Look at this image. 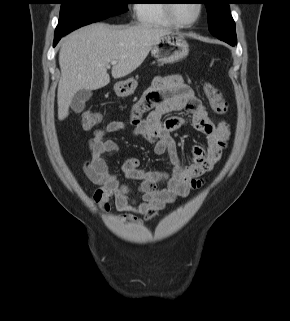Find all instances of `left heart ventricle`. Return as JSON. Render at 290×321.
<instances>
[{
    "label": "left heart ventricle",
    "instance_id": "b2bd125f",
    "mask_svg": "<svg viewBox=\"0 0 290 321\" xmlns=\"http://www.w3.org/2000/svg\"><path fill=\"white\" fill-rule=\"evenodd\" d=\"M174 14L180 21L190 22L197 15V4L191 0H182L180 3H175Z\"/></svg>",
    "mask_w": 290,
    "mask_h": 321
}]
</instances>
